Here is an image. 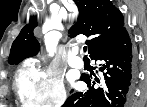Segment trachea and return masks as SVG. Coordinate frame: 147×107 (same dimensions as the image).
<instances>
[{
  "instance_id": "3493384b",
  "label": "trachea",
  "mask_w": 147,
  "mask_h": 107,
  "mask_svg": "<svg viewBox=\"0 0 147 107\" xmlns=\"http://www.w3.org/2000/svg\"><path fill=\"white\" fill-rule=\"evenodd\" d=\"M83 50H84V52H86V50H87V47H86V46H84Z\"/></svg>"
}]
</instances>
